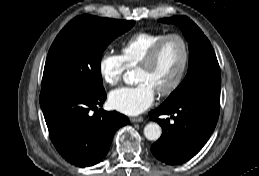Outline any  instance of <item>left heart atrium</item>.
<instances>
[{
  "label": "left heart atrium",
  "mask_w": 259,
  "mask_h": 176,
  "mask_svg": "<svg viewBox=\"0 0 259 176\" xmlns=\"http://www.w3.org/2000/svg\"><path fill=\"white\" fill-rule=\"evenodd\" d=\"M155 89L142 81L134 86L121 87L109 94L110 106L127 115H137L152 105Z\"/></svg>",
  "instance_id": "left-heart-atrium-1"
}]
</instances>
